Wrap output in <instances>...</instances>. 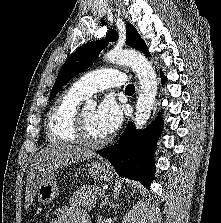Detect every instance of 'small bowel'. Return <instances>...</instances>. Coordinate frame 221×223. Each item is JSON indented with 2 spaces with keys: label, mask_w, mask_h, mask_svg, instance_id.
<instances>
[{
  "label": "small bowel",
  "mask_w": 221,
  "mask_h": 223,
  "mask_svg": "<svg viewBox=\"0 0 221 223\" xmlns=\"http://www.w3.org/2000/svg\"><path fill=\"white\" fill-rule=\"evenodd\" d=\"M52 223H90V219L78 209L63 206L54 213Z\"/></svg>",
  "instance_id": "1"
}]
</instances>
